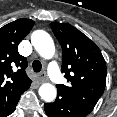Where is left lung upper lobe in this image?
Masks as SVG:
<instances>
[{
	"label": "left lung upper lobe",
	"mask_w": 117,
	"mask_h": 117,
	"mask_svg": "<svg viewBox=\"0 0 117 117\" xmlns=\"http://www.w3.org/2000/svg\"><path fill=\"white\" fill-rule=\"evenodd\" d=\"M63 50L62 72L69 85H57L58 93L91 112L106 85V63L97 45L68 23H51Z\"/></svg>",
	"instance_id": "obj_1"
}]
</instances>
